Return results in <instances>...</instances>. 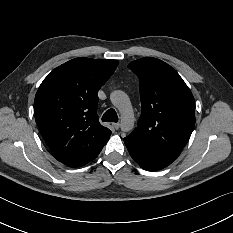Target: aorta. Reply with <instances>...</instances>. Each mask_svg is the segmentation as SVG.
I'll list each match as a JSON object with an SVG mask.
<instances>
[{
  "label": "aorta",
  "mask_w": 233,
  "mask_h": 233,
  "mask_svg": "<svg viewBox=\"0 0 233 233\" xmlns=\"http://www.w3.org/2000/svg\"><path fill=\"white\" fill-rule=\"evenodd\" d=\"M110 100L121 114V130L125 132L132 130L135 118L128 95L123 91L117 90L110 94Z\"/></svg>",
  "instance_id": "762f6f07"
}]
</instances>
